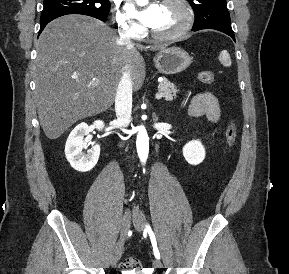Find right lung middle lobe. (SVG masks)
Wrapping results in <instances>:
<instances>
[{"label":"right lung middle lobe","mask_w":289,"mask_h":274,"mask_svg":"<svg viewBox=\"0 0 289 274\" xmlns=\"http://www.w3.org/2000/svg\"><path fill=\"white\" fill-rule=\"evenodd\" d=\"M110 10L108 0H44L41 17L77 12L106 19Z\"/></svg>","instance_id":"right-lung-middle-lobe-1"}]
</instances>
